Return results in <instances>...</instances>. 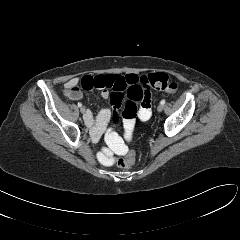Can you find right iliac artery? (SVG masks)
Instances as JSON below:
<instances>
[{
	"label": "right iliac artery",
	"mask_w": 240,
	"mask_h": 240,
	"mask_svg": "<svg viewBox=\"0 0 240 240\" xmlns=\"http://www.w3.org/2000/svg\"><path fill=\"white\" fill-rule=\"evenodd\" d=\"M78 107H82V104L80 102H78Z\"/></svg>",
	"instance_id": "right-iliac-artery-1"
}]
</instances>
